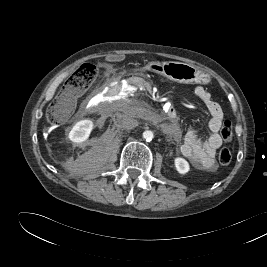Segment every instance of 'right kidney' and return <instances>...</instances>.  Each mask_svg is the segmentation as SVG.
I'll return each instance as SVG.
<instances>
[{
  "mask_svg": "<svg viewBox=\"0 0 267 267\" xmlns=\"http://www.w3.org/2000/svg\"><path fill=\"white\" fill-rule=\"evenodd\" d=\"M93 126V121L88 119L77 122L69 132V140L75 143L86 141L93 129Z\"/></svg>",
  "mask_w": 267,
  "mask_h": 267,
  "instance_id": "1",
  "label": "right kidney"
}]
</instances>
